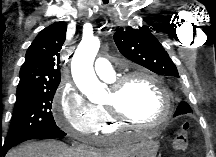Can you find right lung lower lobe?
Wrapping results in <instances>:
<instances>
[{
  "label": "right lung lower lobe",
  "mask_w": 216,
  "mask_h": 157,
  "mask_svg": "<svg viewBox=\"0 0 216 157\" xmlns=\"http://www.w3.org/2000/svg\"><path fill=\"white\" fill-rule=\"evenodd\" d=\"M66 134L61 130H55L51 132H43V133H36L32 134L25 139L18 141L16 143H11L8 145L0 146V157H4L7 151L14 145L21 143L23 141L31 140V139H54V138H61L65 136Z\"/></svg>",
  "instance_id": "obj_1"
}]
</instances>
